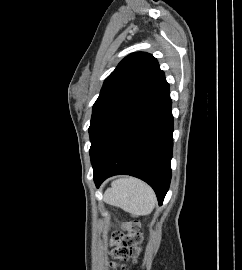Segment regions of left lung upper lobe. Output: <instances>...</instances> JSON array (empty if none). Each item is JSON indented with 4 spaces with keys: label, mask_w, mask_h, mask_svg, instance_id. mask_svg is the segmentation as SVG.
Returning <instances> with one entry per match:
<instances>
[{
    "label": "left lung upper lobe",
    "mask_w": 242,
    "mask_h": 270,
    "mask_svg": "<svg viewBox=\"0 0 242 270\" xmlns=\"http://www.w3.org/2000/svg\"><path fill=\"white\" fill-rule=\"evenodd\" d=\"M164 78V72L151 54L132 53L119 63L104 81L93 105L89 127L91 162L114 125L148 97Z\"/></svg>",
    "instance_id": "obj_1"
}]
</instances>
